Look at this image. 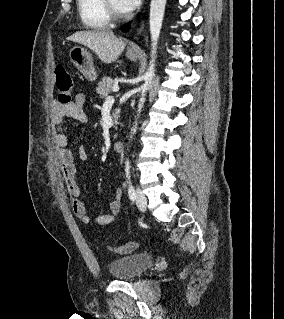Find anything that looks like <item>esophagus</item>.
<instances>
[{
	"instance_id": "esophagus-1",
	"label": "esophagus",
	"mask_w": 284,
	"mask_h": 319,
	"mask_svg": "<svg viewBox=\"0 0 284 319\" xmlns=\"http://www.w3.org/2000/svg\"><path fill=\"white\" fill-rule=\"evenodd\" d=\"M142 28H143V22H141L136 29L135 39H138V36L141 34ZM128 50L132 51V52H137V51H139V47L136 43H132L129 46Z\"/></svg>"
}]
</instances>
